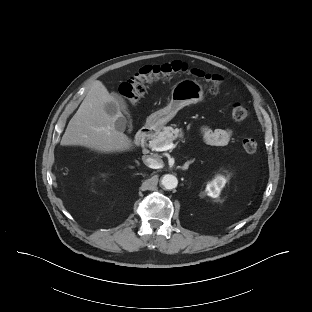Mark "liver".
<instances>
[{
	"label": "liver",
	"instance_id": "6515ba94",
	"mask_svg": "<svg viewBox=\"0 0 312 312\" xmlns=\"http://www.w3.org/2000/svg\"><path fill=\"white\" fill-rule=\"evenodd\" d=\"M115 102L102 82L90 87L79 109L69 121L61 139L62 146H84L100 153L124 152L133 148L132 140L116 128L118 117L110 116L105 105Z\"/></svg>",
	"mask_w": 312,
	"mask_h": 312
}]
</instances>
